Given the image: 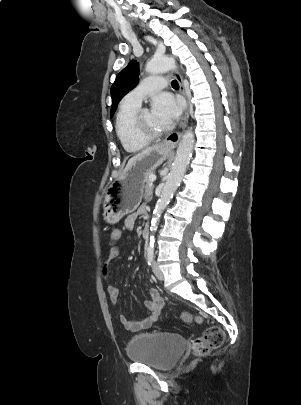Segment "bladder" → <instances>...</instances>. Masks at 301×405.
<instances>
[{
    "label": "bladder",
    "instance_id": "bladder-1",
    "mask_svg": "<svg viewBox=\"0 0 301 405\" xmlns=\"http://www.w3.org/2000/svg\"><path fill=\"white\" fill-rule=\"evenodd\" d=\"M184 348L185 341L179 335L144 332L131 338L126 351L134 362L158 370H168L179 360Z\"/></svg>",
    "mask_w": 301,
    "mask_h": 405
}]
</instances>
